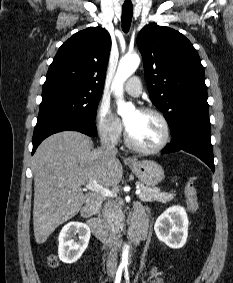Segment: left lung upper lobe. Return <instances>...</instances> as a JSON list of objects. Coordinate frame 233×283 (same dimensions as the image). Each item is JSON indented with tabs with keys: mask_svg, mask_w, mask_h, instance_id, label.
Masks as SVG:
<instances>
[{
	"mask_svg": "<svg viewBox=\"0 0 233 283\" xmlns=\"http://www.w3.org/2000/svg\"><path fill=\"white\" fill-rule=\"evenodd\" d=\"M149 97L171 130L192 118H209L204 67L180 32L151 23L137 37Z\"/></svg>",
	"mask_w": 233,
	"mask_h": 283,
	"instance_id": "obj_1",
	"label": "left lung upper lobe"
}]
</instances>
